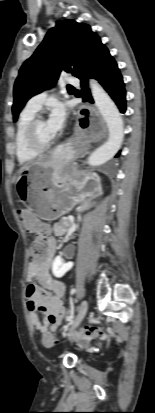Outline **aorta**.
Wrapping results in <instances>:
<instances>
[{
    "label": "aorta",
    "instance_id": "aorta-1",
    "mask_svg": "<svg viewBox=\"0 0 155 413\" xmlns=\"http://www.w3.org/2000/svg\"><path fill=\"white\" fill-rule=\"evenodd\" d=\"M90 88L96 107L108 127V140L88 158L90 166H99L109 161L121 147L124 138L123 119L110 96L95 80H90Z\"/></svg>",
    "mask_w": 155,
    "mask_h": 413
}]
</instances>
